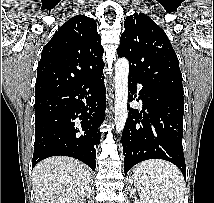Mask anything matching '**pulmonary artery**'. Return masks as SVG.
I'll use <instances>...</instances> for the list:
<instances>
[{"instance_id":"1","label":"pulmonary artery","mask_w":214,"mask_h":203,"mask_svg":"<svg viewBox=\"0 0 214 203\" xmlns=\"http://www.w3.org/2000/svg\"><path fill=\"white\" fill-rule=\"evenodd\" d=\"M138 90H140V86H138Z\"/></svg>"}]
</instances>
